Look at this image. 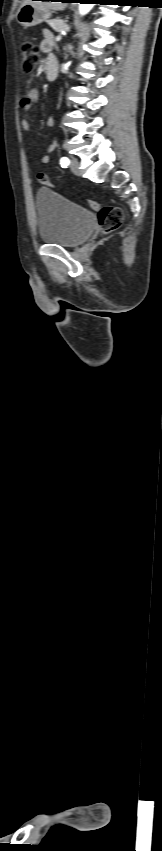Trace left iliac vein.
Listing matches in <instances>:
<instances>
[{"label":"left iliac vein","instance_id":"4c4485c4","mask_svg":"<svg viewBox=\"0 0 162 851\" xmlns=\"http://www.w3.org/2000/svg\"><path fill=\"white\" fill-rule=\"evenodd\" d=\"M70 169H71V171H72L75 175H77V176H79V175L81 174V171H80V168H79V162H78V160H77V159L73 158V159L71 160V162H70Z\"/></svg>","mask_w":162,"mask_h":851}]
</instances>
